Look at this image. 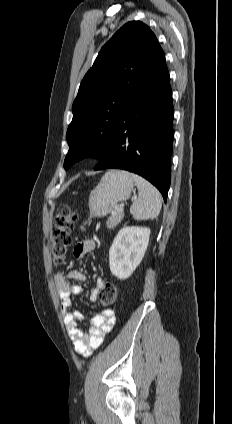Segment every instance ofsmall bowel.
Wrapping results in <instances>:
<instances>
[{
  "label": "small bowel",
  "instance_id": "1",
  "mask_svg": "<svg viewBox=\"0 0 232 424\" xmlns=\"http://www.w3.org/2000/svg\"><path fill=\"white\" fill-rule=\"evenodd\" d=\"M95 248V239L85 237L76 243L73 254L76 258L81 259L94 251ZM72 280L85 282L87 276L78 270H72L68 273L58 271L54 275L56 291L61 300L62 318L66 324L73 348L78 354L88 357L101 346L105 335L113 328L115 323L114 311L112 309L100 311L92 318L89 331L84 332L78 325L79 321L84 317L82 312L72 310V297L80 295L83 292V287L79 284H73ZM103 284L104 280L102 278L96 279L95 287L89 294L91 301H97L99 290Z\"/></svg>",
  "mask_w": 232,
  "mask_h": 424
}]
</instances>
